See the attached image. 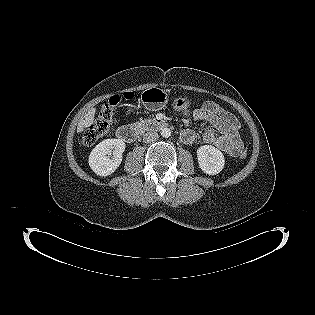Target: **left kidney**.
Masks as SVG:
<instances>
[{"label":"left kidney","instance_id":"obj_1","mask_svg":"<svg viewBox=\"0 0 315 315\" xmlns=\"http://www.w3.org/2000/svg\"><path fill=\"white\" fill-rule=\"evenodd\" d=\"M197 159L200 169L208 175H216L224 168L225 159L222 152L211 145L198 148Z\"/></svg>","mask_w":315,"mask_h":315}]
</instances>
